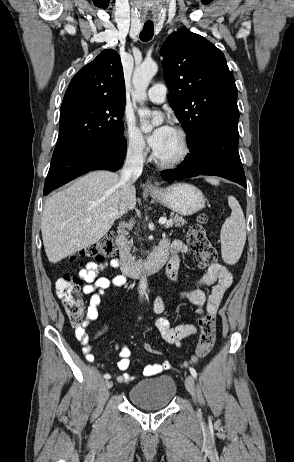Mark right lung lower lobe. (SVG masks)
<instances>
[{"label":"right lung lower lobe","instance_id":"obj_1","mask_svg":"<svg viewBox=\"0 0 294 462\" xmlns=\"http://www.w3.org/2000/svg\"><path fill=\"white\" fill-rule=\"evenodd\" d=\"M126 149L123 135L76 138L57 144L45 181L44 195L91 170H118Z\"/></svg>","mask_w":294,"mask_h":462}]
</instances>
